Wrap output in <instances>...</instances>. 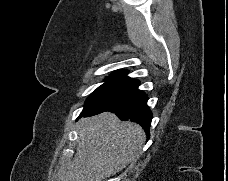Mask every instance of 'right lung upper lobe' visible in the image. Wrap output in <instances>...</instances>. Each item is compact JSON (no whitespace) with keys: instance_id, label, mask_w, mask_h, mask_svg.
<instances>
[{"instance_id":"right-lung-upper-lobe-1","label":"right lung upper lobe","mask_w":228,"mask_h":181,"mask_svg":"<svg viewBox=\"0 0 228 181\" xmlns=\"http://www.w3.org/2000/svg\"><path fill=\"white\" fill-rule=\"evenodd\" d=\"M127 71L125 70H120V71H116L115 73H113L110 77L108 78H115V79H121V80H127V81H133V79L129 78L128 76H126Z\"/></svg>"}]
</instances>
